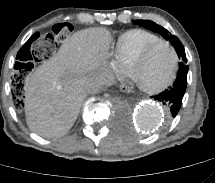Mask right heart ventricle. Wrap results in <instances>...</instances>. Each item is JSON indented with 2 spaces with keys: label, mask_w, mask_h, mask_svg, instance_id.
<instances>
[{
  "label": "right heart ventricle",
  "mask_w": 215,
  "mask_h": 183,
  "mask_svg": "<svg viewBox=\"0 0 215 183\" xmlns=\"http://www.w3.org/2000/svg\"><path fill=\"white\" fill-rule=\"evenodd\" d=\"M161 40V38L144 29H131L118 38L114 55L124 68H129L132 60L149 44Z\"/></svg>",
  "instance_id": "obj_1"
}]
</instances>
